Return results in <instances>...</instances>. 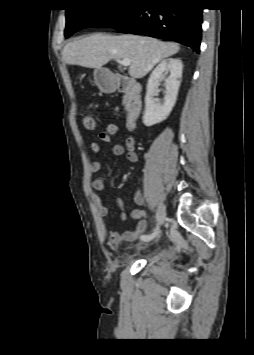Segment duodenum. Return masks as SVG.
Returning a JSON list of instances; mask_svg holds the SVG:
<instances>
[{
  "instance_id": "obj_1",
  "label": "duodenum",
  "mask_w": 254,
  "mask_h": 355,
  "mask_svg": "<svg viewBox=\"0 0 254 355\" xmlns=\"http://www.w3.org/2000/svg\"><path fill=\"white\" fill-rule=\"evenodd\" d=\"M104 87L109 91L124 92L127 94L128 111L126 114V127L133 130L142 110L141 91L139 83L127 79L121 75H115Z\"/></svg>"
}]
</instances>
